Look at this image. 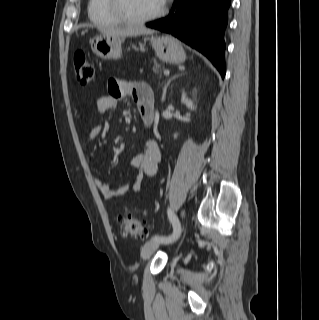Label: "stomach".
<instances>
[{
    "mask_svg": "<svg viewBox=\"0 0 319 320\" xmlns=\"http://www.w3.org/2000/svg\"><path fill=\"white\" fill-rule=\"evenodd\" d=\"M151 45L157 57L164 62L180 64L186 59L180 42L172 36L152 37ZM91 49L104 60H117L122 55L121 38L105 34L95 36L91 40Z\"/></svg>",
    "mask_w": 319,
    "mask_h": 320,
    "instance_id": "0dacf381",
    "label": "stomach"
}]
</instances>
